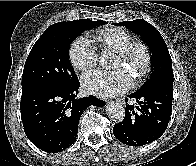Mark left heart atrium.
<instances>
[{"mask_svg": "<svg viewBox=\"0 0 196 166\" xmlns=\"http://www.w3.org/2000/svg\"><path fill=\"white\" fill-rule=\"evenodd\" d=\"M134 84L132 75L123 68L113 71L95 69L82 77L86 92L97 96H113L129 90Z\"/></svg>", "mask_w": 196, "mask_h": 166, "instance_id": "obj_1", "label": "left heart atrium"}]
</instances>
